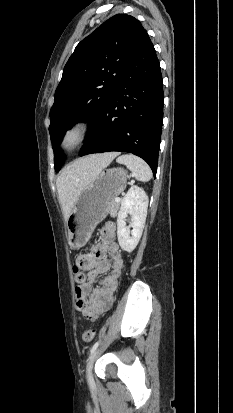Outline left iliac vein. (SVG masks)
<instances>
[{"label":"left iliac vein","mask_w":233,"mask_h":413,"mask_svg":"<svg viewBox=\"0 0 233 413\" xmlns=\"http://www.w3.org/2000/svg\"><path fill=\"white\" fill-rule=\"evenodd\" d=\"M98 354H99V349H96V350L92 353V355H91V357H90V359H89L88 365H87L86 374H87V380H88L89 382L92 381V368H93V364H94L95 360L97 359Z\"/></svg>","instance_id":"1"}]
</instances>
